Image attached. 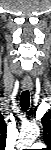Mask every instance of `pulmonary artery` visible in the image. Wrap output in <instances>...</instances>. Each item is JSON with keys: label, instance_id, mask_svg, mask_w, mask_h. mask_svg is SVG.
<instances>
[{"label": "pulmonary artery", "instance_id": "pulmonary-artery-1", "mask_svg": "<svg viewBox=\"0 0 51 150\" xmlns=\"http://www.w3.org/2000/svg\"><path fill=\"white\" fill-rule=\"evenodd\" d=\"M40 147H42V144L40 143H35L32 145V148H40Z\"/></svg>", "mask_w": 51, "mask_h": 150}]
</instances>
